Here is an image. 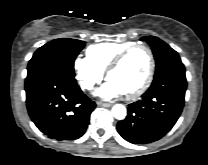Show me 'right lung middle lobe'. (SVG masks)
Listing matches in <instances>:
<instances>
[{
	"label": "right lung middle lobe",
	"mask_w": 208,
	"mask_h": 165,
	"mask_svg": "<svg viewBox=\"0 0 208 165\" xmlns=\"http://www.w3.org/2000/svg\"><path fill=\"white\" fill-rule=\"evenodd\" d=\"M84 46L85 42L68 38L43 45L29 61L26 80L46 70H58L74 77V60Z\"/></svg>",
	"instance_id": "obj_1"
}]
</instances>
